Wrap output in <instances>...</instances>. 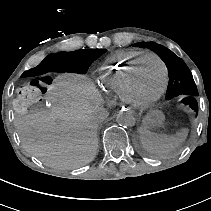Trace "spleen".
<instances>
[{"mask_svg": "<svg viewBox=\"0 0 211 211\" xmlns=\"http://www.w3.org/2000/svg\"><path fill=\"white\" fill-rule=\"evenodd\" d=\"M140 141L143 148L150 153H164L169 151L187 137L188 131L183 129L176 136L157 134L146 129L145 126L140 130Z\"/></svg>", "mask_w": 211, "mask_h": 211, "instance_id": "spleen-1", "label": "spleen"}]
</instances>
